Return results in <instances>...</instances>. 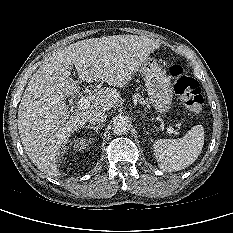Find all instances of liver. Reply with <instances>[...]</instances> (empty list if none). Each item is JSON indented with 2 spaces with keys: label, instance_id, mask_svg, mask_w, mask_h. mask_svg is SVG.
Wrapping results in <instances>:
<instances>
[{
  "label": "liver",
  "instance_id": "obj_1",
  "mask_svg": "<svg viewBox=\"0 0 233 233\" xmlns=\"http://www.w3.org/2000/svg\"><path fill=\"white\" fill-rule=\"evenodd\" d=\"M159 46L143 36L113 35L78 41L54 52L32 76L18 109L21 142L33 164L48 176L60 177V151L71 134L85 125L92 111H109L120 99L117 89L105 87L91 106L69 111L65 97L80 91L71 77L72 66L86 82L122 88Z\"/></svg>",
  "mask_w": 233,
  "mask_h": 233
}]
</instances>
